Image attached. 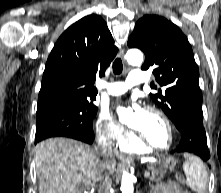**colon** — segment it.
<instances>
[{
    "mask_svg": "<svg viewBox=\"0 0 221 193\" xmlns=\"http://www.w3.org/2000/svg\"><path fill=\"white\" fill-rule=\"evenodd\" d=\"M177 178H178L179 181H182V180H183V177H182L181 174H177Z\"/></svg>",
    "mask_w": 221,
    "mask_h": 193,
    "instance_id": "1",
    "label": "colon"
}]
</instances>
